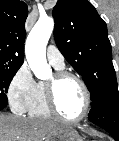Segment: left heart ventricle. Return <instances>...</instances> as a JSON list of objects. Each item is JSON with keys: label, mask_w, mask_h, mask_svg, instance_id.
Wrapping results in <instances>:
<instances>
[{"label": "left heart ventricle", "mask_w": 119, "mask_h": 141, "mask_svg": "<svg viewBox=\"0 0 119 141\" xmlns=\"http://www.w3.org/2000/svg\"><path fill=\"white\" fill-rule=\"evenodd\" d=\"M51 79L52 77L48 81ZM56 102L64 116L69 118L79 116L85 104L84 94L79 83L72 78L61 81L56 86Z\"/></svg>", "instance_id": "left-heart-ventricle-1"}]
</instances>
